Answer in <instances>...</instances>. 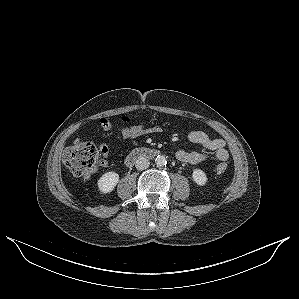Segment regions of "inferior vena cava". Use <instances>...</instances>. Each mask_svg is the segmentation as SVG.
Returning <instances> with one entry per match:
<instances>
[{
	"label": "inferior vena cava",
	"mask_w": 299,
	"mask_h": 299,
	"mask_svg": "<svg viewBox=\"0 0 299 299\" xmlns=\"http://www.w3.org/2000/svg\"><path fill=\"white\" fill-rule=\"evenodd\" d=\"M149 165H150V162H149V160H148L147 158H145V157H139V158L136 160V164H135L136 169H137V170H140V171L147 169V168L149 167Z\"/></svg>",
	"instance_id": "602c4592"
}]
</instances>
